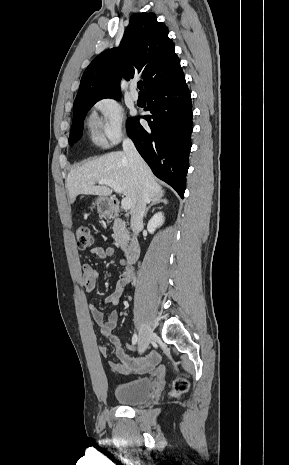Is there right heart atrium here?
Masks as SVG:
<instances>
[{"label": "right heart atrium", "mask_w": 289, "mask_h": 465, "mask_svg": "<svg viewBox=\"0 0 289 465\" xmlns=\"http://www.w3.org/2000/svg\"><path fill=\"white\" fill-rule=\"evenodd\" d=\"M95 107L101 113V136L107 144H116L126 135V118L121 104L112 97L98 100Z\"/></svg>", "instance_id": "1"}]
</instances>
